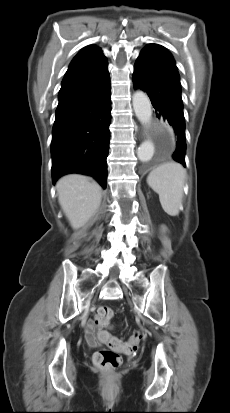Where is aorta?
Returning <instances> with one entry per match:
<instances>
[{
  "instance_id": "aorta-1",
  "label": "aorta",
  "mask_w": 230,
  "mask_h": 413,
  "mask_svg": "<svg viewBox=\"0 0 230 413\" xmlns=\"http://www.w3.org/2000/svg\"><path fill=\"white\" fill-rule=\"evenodd\" d=\"M133 108L138 120L149 125L152 118V106L149 97L141 90H137L133 94ZM154 154V143L151 140H145L138 148L137 156L140 161L148 162Z\"/></svg>"
}]
</instances>
